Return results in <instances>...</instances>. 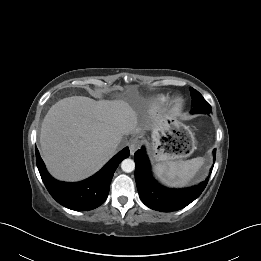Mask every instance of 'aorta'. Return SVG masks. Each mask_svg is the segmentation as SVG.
<instances>
[{"label": "aorta", "mask_w": 261, "mask_h": 261, "mask_svg": "<svg viewBox=\"0 0 261 261\" xmlns=\"http://www.w3.org/2000/svg\"><path fill=\"white\" fill-rule=\"evenodd\" d=\"M121 169L126 172V173H130L135 169V163L132 159H124L121 162Z\"/></svg>", "instance_id": "aorta-1"}]
</instances>
